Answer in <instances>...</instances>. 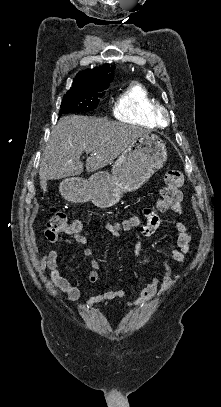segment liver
I'll use <instances>...</instances> for the list:
<instances>
[{"label": "liver", "mask_w": 221, "mask_h": 407, "mask_svg": "<svg viewBox=\"0 0 221 407\" xmlns=\"http://www.w3.org/2000/svg\"><path fill=\"white\" fill-rule=\"evenodd\" d=\"M149 133L138 126L106 118L70 115L59 119L51 131L40 162L42 182L80 175V157L88 155L86 171L95 172L116 159L135 139Z\"/></svg>", "instance_id": "6515ba94"}]
</instances>
